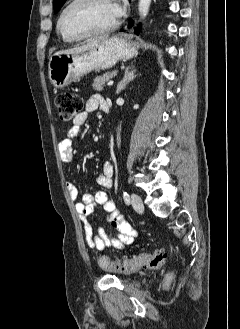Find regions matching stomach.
<instances>
[{
  "label": "stomach",
  "instance_id": "0dacf381",
  "mask_svg": "<svg viewBox=\"0 0 240 329\" xmlns=\"http://www.w3.org/2000/svg\"><path fill=\"white\" fill-rule=\"evenodd\" d=\"M136 43L125 37H111L87 52L52 55L49 60V79L55 88L62 89L92 70H105L119 60L137 55Z\"/></svg>",
  "mask_w": 240,
  "mask_h": 329
}]
</instances>
